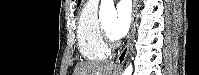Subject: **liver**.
<instances>
[{
  "mask_svg": "<svg viewBox=\"0 0 199 75\" xmlns=\"http://www.w3.org/2000/svg\"><path fill=\"white\" fill-rule=\"evenodd\" d=\"M73 75H117L112 62H81L74 69Z\"/></svg>",
  "mask_w": 199,
  "mask_h": 75,
  "instance_id": "1",
  "label": "liver"
}]
</instances>
